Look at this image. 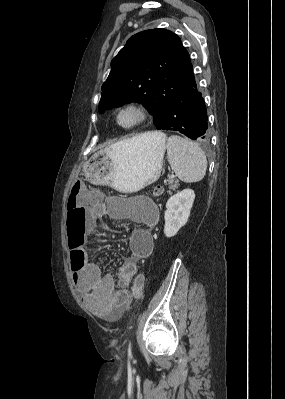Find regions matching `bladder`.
<instances>
[{
  "label": "bladder",
  "instance_id": "bladder-1",
  "mask_svg": "<svg viewBox=\"0 0 285 399\" xmlns=\"http://www.w3.org/2000/svg\"><path fill=\"white\" fill-rule=\"evenodd\" d=\"M130 199L131 200H138L150 212H155L156 209H157L155 203L151 199H149L148 197L136 196V197H132Z\"/></svg>",
  "mask_w": 285,
  "mask_h": 399
}]
</instances>
